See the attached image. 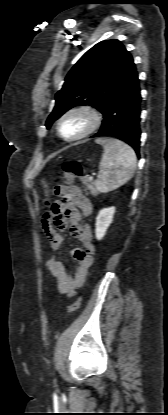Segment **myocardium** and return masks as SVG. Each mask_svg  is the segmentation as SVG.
Returning <instances> with one entry per match:
<instances>
[{
  "label": "myocardium",
  "mask_w": 168,
  "mask_h": 415,
  "mask_svg": "<svg viewBox=\"0 0 168 415\" xmlns=\"http://www.w3.org/2000/svg\"><path fill=\"white\" fill-rule=\"evenodd\" d=\"M76 113L84 114L88 118V121H89L88 127L77 136L70 137V138L65 137L61 132L62 121L69 115L76 114ZM101 123H102V113L95 106H92L90 104H81V105H76V106H73L67 109L59 117L57 121L56 129H57V133L60 138H62L63 140L67 142H74V141L84 139L88 137L89 135H91L92 133H94L100 127Z\"/></svg>",
  "instance_id": "1"
}]
</instances>
